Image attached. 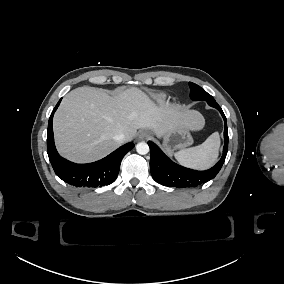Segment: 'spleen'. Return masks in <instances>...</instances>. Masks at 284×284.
Segmentation results:
<instances>
[{
    "mask_svg": "<svg viewBox=\"0 0 284 284\" xmlns=\"http://www.w3.org/2000/svg\"><path fill=\"white\" fill-rule=\"evenodd\" d=\"M218 148L219 136L218 133L215 132L197 146L176 151L175 157L184 165L196 168H206L215 162Z\"/></svg>",
    "mask_w": 284,
    "mask_h": 284,
    "instance_id": "1",
    "label": "spleen"
}]
</instances>
